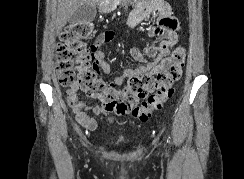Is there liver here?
Here are the masks:
<instances>
[{"label": "liver", "instance_id": "obj_1", "mask_svg": "<svg viewBox=\"0 0 244 179\" xmlns=\"http://www.w3.org/2000/svg\"><path fill=\"white\" fill-rule=\"evenodd\" d=\"M100 0H58V16L56 22L57 32H60L61 28L65 26L69 18L75 14L76 10L84 4L89 6H96Z\"/></svg>", "mask_w": 244, "mask_h": 179}]
</instances>
